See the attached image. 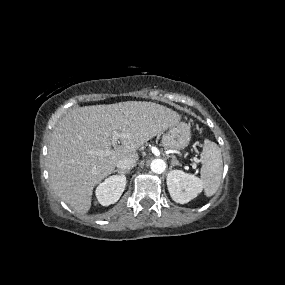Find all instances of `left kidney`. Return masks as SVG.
<instances>
[{"label": "left kidney", "instance_id": "left-kidney-1", "mask_svg": "<svg viewBox=\"0 0 285 285\" xmlns=\"http://www.w3.org/2000/svg\"><path fill=\"white\" fill-rule=\"evenodd\" d=\"M167 186L172 199L180 204L194 199L203 189V183L198 177L181 170L168 173Z\"/></svg>", "mask_w": 285, "mask_h": 285}]
</instances>
